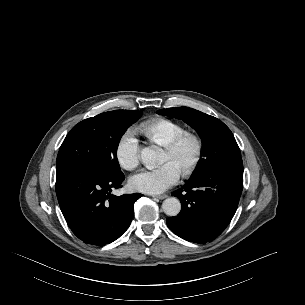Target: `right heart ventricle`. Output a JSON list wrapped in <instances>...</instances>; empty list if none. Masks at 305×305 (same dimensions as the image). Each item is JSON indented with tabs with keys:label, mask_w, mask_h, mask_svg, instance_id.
I'll list each match as a JSON object with an SVG mask.
<instances>
[{
	"label": "right heart ventricle",
	"mask_w": 305,
	"mask_h": 305,
	"mask_svg": "<svg viewBox=\"0 0 305 305\" xmlns=\"http://www.w3.org/2000/svg\"><path fill=\"white\" fill-rule=\"evenodd\" d=\"M139 130L152 142L165 146L186 128L173 120L157 118L143 123Z\"/></svg>",
	"instance_id": "right-heart-ventricle-1"
}]
</instances>
